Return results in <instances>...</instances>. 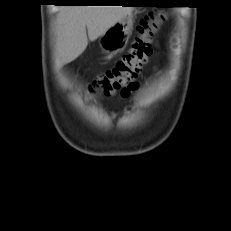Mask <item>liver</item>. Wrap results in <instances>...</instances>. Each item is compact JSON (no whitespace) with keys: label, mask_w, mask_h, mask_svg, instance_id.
Returning a JSON list of instances; mask_svg holds the SVG:
<instances>
[{"label":"liver","mask_w":231,"mask_h":231,"mask_svg":"<svg viewBox=\"0 0 231 231\" xmlns=\"http://www.w3.org/2000/svg\"><path fill=\"white\" fill-rule=\"evenodd\" d=\"M132 7L65 6L57 16L55 62L61 66L79 57L90 41L130 15ZM86 27L88 37L86 34Z\"/></svg>","instance_id":"obj_1"}]
</instances>
